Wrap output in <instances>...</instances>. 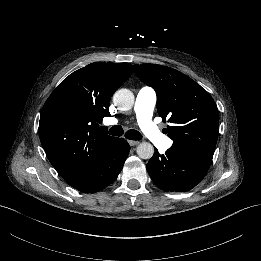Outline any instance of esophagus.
Returning <instances> with one entry per match:
<instances>
[{
  "instance_id": "1",
  "label": "esophagus",
  "mask_w": 261,
  "mask_h": 261,
  "mask_svg": "<svg viewBox=\"0 0 261 261\" xmlns=\"http://www.w3.org/2000/svg\"><path fill=\"white\" fill-rule=\"evenodd\" d=\"M128 143L130 144V146H136L138 145L140 142L139 141H132V140H128Z\"/></svg>"
}]
</instances>
